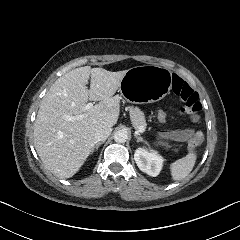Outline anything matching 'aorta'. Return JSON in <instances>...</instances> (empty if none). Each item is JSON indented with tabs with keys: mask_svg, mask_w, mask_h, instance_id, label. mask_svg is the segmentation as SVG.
Returning a JSON list of instances; mask_svg holds the SVG:
<instances>
[{
	"mask_svg": "<svg viewBox=\"0 0 240 240\" xmlns=\"http://www.w3.org/2000/svg\"><path fill=\"white\" fill-rule=\"evenodd\" d=\"M128 139V134L125 130H117L114 133V140L117 143H125Z\"/></svg>",
	"mask_w": 240,
	"mask_h": 240,
	"instance_id": "obj_1",
	"label": "aorta"
}]
</instances>
